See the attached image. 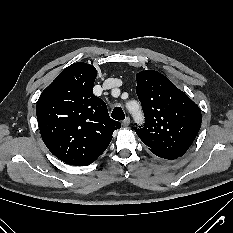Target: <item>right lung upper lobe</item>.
Returning a JSON list of instances; mask_svg holds the SVG:
<instances>
[{
    "instance_id": "obj_1",
    "label": "right lung upper lobe",
    "mask_w": 233,
    "mask_h": 233,
    "mask_svg": "<svg viewBox=\"0 0 233 233\" xmlns=\"http://www.w3.org/2000/svg\"><path fill=\"white\" fill-rule=\"evenodd\" d=\"M94 66L78 62L64 69L42 92L36 114L42 139L69 165L93 163L121 124L109 117L105 102L93 94Z\"/></svg>"
}]
</instances>
